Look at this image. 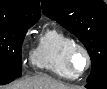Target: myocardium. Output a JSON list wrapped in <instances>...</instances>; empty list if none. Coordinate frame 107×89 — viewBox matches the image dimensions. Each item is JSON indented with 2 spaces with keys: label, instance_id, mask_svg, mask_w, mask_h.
Returning <instances> with one entry per match:
<instances>
[{
  "label": "myocardium",
  "instance_id": "f54148a6",
  "mask_svg": "<svg viewBox=\"0 0 107 89\" xmlns=\"http://www.w3.org/2000/svg\"><path fill=\"white\" fill-rule=\"evenodd\" d=\"M76 52H81L84 57H85V67L82 71L80 72H77L74 70L73 68V56ZM65 63H66V66L68 68V70L72 73V75L74 77H79L81 75H83L85 72L88 71V69L90 68L91 66V57H90V54L88 52V50L86 49L85 46H83L82 44H79V43H76V42H73L72 44H70L66 50V54H65Z\"/></svg>",
  "mask_w": 107,
  "mask_h": 89
}]
</instances>
